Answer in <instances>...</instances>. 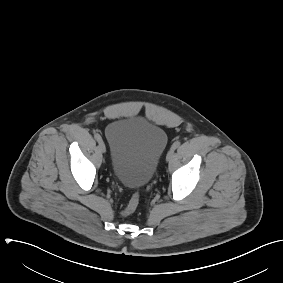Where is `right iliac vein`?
<instances>
[{
  "mask_svg": "<svg viewBox=\"0 0 283 283\" xmlns=\"http://www.w3.org/2000/svg\"><path fill=\"white\" fill-rule=\"evenodd\" d=\"M99 150L102 152V153H105L106 152V146L104 144V142L101 140L99 142Z\"/></svg>",
  "mask_w": 283,
  "mask_h": 283,
  "instance_id": "right-iliac-vein-1",
  "label": "right iliac vein"
}]
</instances>
